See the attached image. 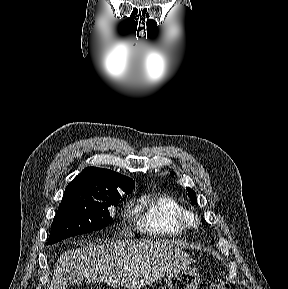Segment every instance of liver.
<instances>
[{
  "label": "liver",
  "mask_w": 288,
  "mask_h": 289,
  "mask_svg": "<svg viewBox=\"0 0 288 289\" xmlns=\"http://www.w3.org/2000/svg\"><path fill=\"white\" fill-rule=\"evenodd\" d=\"M192 262L169 241H103L64 252L56 263L50 289H66L71 273L88 283L140 289Z\"/></svg>",
  "instance_id": "liver-1"
}]
</instances>
